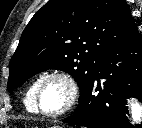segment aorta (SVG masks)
Listing matches in <instances>:
<instances>
[{
	"label": "aorta",
	"mask_w": 142,
	"mask_h": 128,
	"mask_svg": "<svg viewBox=\"0 0 142 128\" xmlns=\"http://www.w3.org/2000/svg\"><path fill=\"white\" fill-rule=\"evenodd\" d=\"M130 109L132 114V119L134 122H139L142 119V106L137 102L133 101L130 103Z\"/></svg>",
	"instance_id": "obj_1"
}]
</instances>
